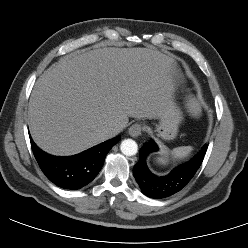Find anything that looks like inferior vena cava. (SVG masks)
<instances>
[{"instance_id":"obj_1","label":"inferior vena cava","mask_w":248,"mask_h":248,"mask_svg":"<svg viewBox=\"0 0 248 248\" xmlns=\"http://www.w3.org/2000/svg\"><path fill=\"white\" fill-rule=\"evenodd\" d=\"M120 132V128L119 127H113L107 130V133L110 135V137H114L115 135H117Z\"/></svg>"}]
</instances>
